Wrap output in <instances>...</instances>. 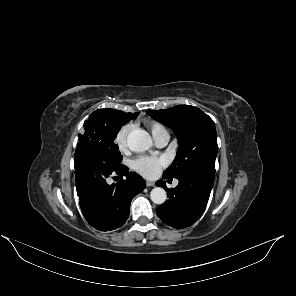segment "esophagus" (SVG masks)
Wrapping results in <instances>:
<instances>
[{"label": "esophagus", "instance_id": "34e87169", "mask_svg": "<svg viewBox=\"0 0 296 296\" xmlns=\"http://www.w3.org/2000/svg\"><path fill=\"white\" fill-rule=\"evenodd\" d=\"M146 185L148 186V187H152V186H155V182L154 181H146Z\"/></svg>", "mask_w": 296, "mask_h": 296}]
</instances>
